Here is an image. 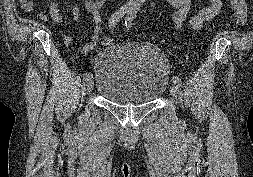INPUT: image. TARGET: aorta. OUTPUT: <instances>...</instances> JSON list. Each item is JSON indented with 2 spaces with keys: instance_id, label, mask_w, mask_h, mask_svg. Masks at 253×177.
I'll return each instance as SVG.
<instances>
[{
  "instance_id": "obj_1",
  "label": "aorta",
  "mask_w": 253,
  "mask_h": 177,
  "mask_svg": "<svg viewBox=\"0 0 253 177\" xmlns=\"http://www.w3.org/2000/svg\"><path fill=\"white\" fill-rule=\"evenodd\" d=\"M131 1L137 5L143 4L145 2V0H131Z\"/></svg>"
}]
</instances>
